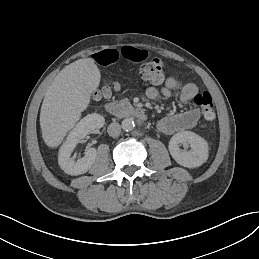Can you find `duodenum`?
I'll use <instances>...</instances> for the list:
<instances>
[{
  "mask_svg": "<svg viewBox=\"0 0 259 259\" xmlns=\"http://www.w3.org/2000/svg\"><path fill=\"white\" fill-rule=\"evenodd\" d=\"M105 109L109 114L119 118H133L139 122L147 119L144 111L116 101L107 102Z\"/></svg>",
  "mask_w": 259,
  "mask_h": 259,
  "instance_id": "obj_1",
  "label": "duodenum"
}]
</instances>
